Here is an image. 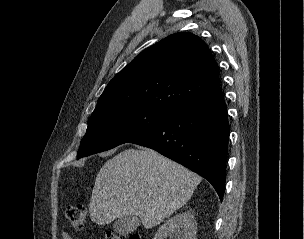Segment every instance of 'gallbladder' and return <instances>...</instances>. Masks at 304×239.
I'll return each instance as SVG.
<instances>
[{"label":"gallbladder","mask_w":304,"mask_h":239,"mask_svg":"<svg viewBox=\"0 0 304 239\" xmlns=\"http://www.w3.org/2000/svg\"><path fill=\"white\" fill-rule=\"evenodd\" d=\"M139 226V219L136 216H123L118 218L113 229L119 235H127L132 233Z\"/></svg>","instance_id":"gallbladder-1"}]
</instances>
